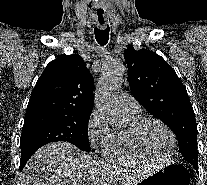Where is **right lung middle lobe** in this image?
<instances>
[{
  "mask_svg": "<svg viewBox=\"0 0 207 185\" xmlns=\"http://www.w3.org/2000/svg\"><path fill=\"white\" fill-rule=\"evenodd\" d=\"M89 117L49 112L26 113L20 140V171L37 149L50 142L67 141L80 150L90 151Z\"/></svg>",
  "mask_w": 207,
  "mask_h": 185,
  "instance_id": "dd1d6c3e",
  "label": "right lung middle lobe"
}]
</instances>
